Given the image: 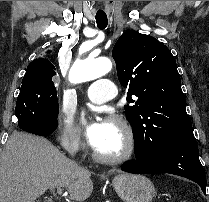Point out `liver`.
I'll return each mask as SVG.
<instances>
[{
  "label": "liver",
  "mask_w": 209,
  "mask_h": 202,
  "mask_svg": "<svg viewBox=\"0 0 209 202\" xmlns=\"http://www.w3.org/2000/svg\"><path fill=\"white\" fill-rule=\"evenodd\" d=\"M91 172L46 138L14 131L0 159V202H35L47 189L66 187L75 201L93 191Z\"/></svg>",
  "instance_id": "6515ba94"
}]
</instances>
